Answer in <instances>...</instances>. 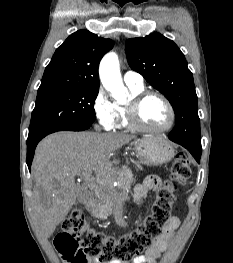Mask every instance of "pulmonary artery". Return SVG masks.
<instances>
[{
  "instance_id": "e3ab8cb5",
  "label": "pulmonary artery",
  "mask_w": 233,
  "mask_h": 263,
  "mask_svg": "<svg viewBox=\"0 0 233 263\" xmlns=\"http://www.w3.org/2000/svg\"><path fill=\"white\" fill-rule=\"evenodd\" d=\"M124 82L127 85H134V86H143V76L135 71L128 70L124 73L123 76Z\"/></svg>"
}]
</instances>
